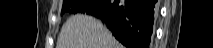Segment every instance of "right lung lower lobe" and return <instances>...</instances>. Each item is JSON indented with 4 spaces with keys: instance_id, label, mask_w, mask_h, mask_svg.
Here are the masks:
<instances>
[{
    "instance_id": "obj_1",
    "label": "right lung lower lobe",
    "mask_w": 213,
    "mask_h": 48,
    "mask_svg": "<svg viewBox=\"0 0 213 48\" xmlns=\"http://www.w3.org/2000/svg\"><path fill=\"white\" fill-rule=\"evenodd\" d=\"M157 0H92L83 13L102 20L128 48H148Z\"/></svg>"
}]
</instances>
